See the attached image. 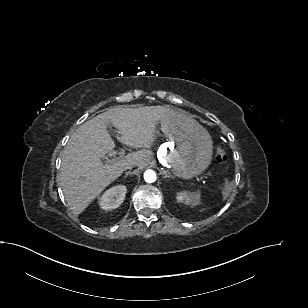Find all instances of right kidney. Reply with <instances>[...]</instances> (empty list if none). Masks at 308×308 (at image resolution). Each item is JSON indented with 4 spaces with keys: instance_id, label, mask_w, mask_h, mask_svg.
I'll list each match as a JSON object with an SVG mask.
<instances>
[{
    "instance_id": "obj_1",
    "label": "right kidney",
    "mask_w": 308,
    "mask_h": 308,
    "mask_svg": "<svg viewBox=\"0 0 308 308\" xmlns=\"http://www.w3.org/2000/svg\"><path fill=\"white\" fill-rule=\"evenodd\" d=\"M127 188L124 185H118L105 191L100 197L99 205L103 210H112L118 208L124 201Z\"/></svg>"
}]
</instances>
